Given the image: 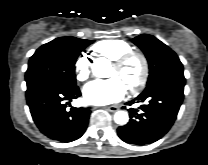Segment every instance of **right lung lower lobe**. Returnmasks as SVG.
Masks as SVG:
<instances>
[{
	"label": "right lung lower lobe",
	"instance_id": "98d812e1",
	"mask_svg": "<svg viewBox=\"0 0 208 165\" xmlns=\"http://www.w3.org/2000/svg\"><path fill=\"white\" fill-rule=\"evenodd\" d=\"M81 95L78 86L63 87L45 83L26 91L27 104L39 130L47 137L71 142L85 132L90 116L89 108L66 107Z\"/></svg>",
	"mask_w": 208,
	"mask_h": 165
}]
</instances>
